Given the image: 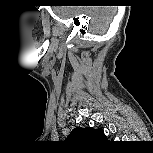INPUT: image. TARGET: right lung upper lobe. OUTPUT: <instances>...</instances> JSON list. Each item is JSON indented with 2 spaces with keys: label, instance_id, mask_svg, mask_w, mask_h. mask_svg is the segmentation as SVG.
I'll return each mask as SVG.
<instances>
[{
  "label": "right lung upper lobe",
  "instance_id": "obj_1",
  "mask_svg": "<svg viewBox=\"0 0 153 153\" xmlns=\"http://www.w3.org/2000/svg\"><path fill=\"white\" fill-rule=\"evenodd\" d=\"M67 140L81 146H92L106 141V136L101 129L75 128L67 137Z\"/></svg>",
  "mask_w": 153,
  "mask_h": 153
}]
</instances>
